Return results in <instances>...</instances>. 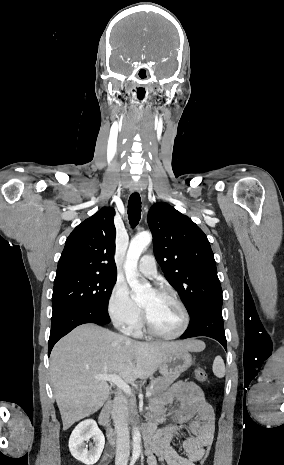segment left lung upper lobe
I'll use <instances>...</instances> for the list:
<instances>
[{"label": "left lung upper lobe", "mask_w": 284, "mask_h": 465, "mask_svg": "<svg viewBox=\"0 0 284 465\" xmlns=\"http://www.w3.org/2000/svg\"><path fill=\"white\" fill-rule=\"evenodd\" d=\"M154 254L169 283L180 293L190 317L222 307L216 262L205 233L169 204L156 203L148 213Z\"/></svg>", "instance_id": "5c2ea615"}]
</instances>
